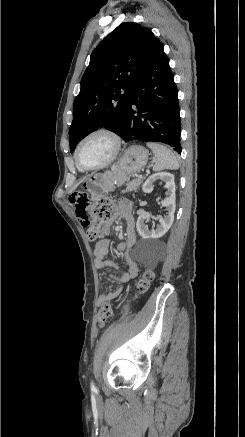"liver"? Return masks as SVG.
Wrapping results in <instances>:
<instances>
[{"label":"liver","mask_w":245,"mask_h":437,"mask_svg":"<svg viewBox=\"0 0 245 437\" xmlns=\"http://www.w3.org/2000/svg\"><path fill=\"white\" fill-rule=\"evenodd\" d=\"M76 187H77V185H75V186L72 188L71 192L74 191V190L76 189Z\"/></svg>","instance_id":"6515ba94"}]
</instances>
